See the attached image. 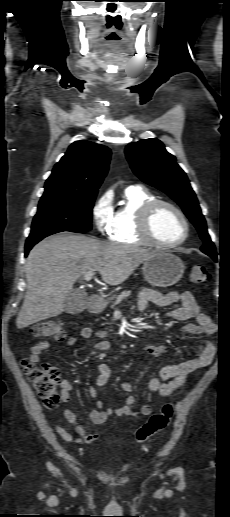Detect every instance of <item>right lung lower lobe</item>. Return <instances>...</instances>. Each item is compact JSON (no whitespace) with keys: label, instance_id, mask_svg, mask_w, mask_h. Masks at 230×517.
I'll list each match as a JSON object with an SVG mask.
<instances>
[{"label":"right lung lower lobe","instance_id":"1","mask_svg":"<svg viewBox=\"0 0 230 517\" xmlns=\"http://www.w3.org/2000/svg\"><path fill=\"white\" fill-rule=\"evenodd\" d=\"M58 233V232H56ZM54 233H50V234H46V235H43V236H38V237H34V238H28L27 241H26V245H25V256L28 255V252L30 251V249L36 244L38 243L39 241H41L43 238L49 236V235H52Z\"/></svg>","mask_w":230,"mask_h":517}]
</instances>
